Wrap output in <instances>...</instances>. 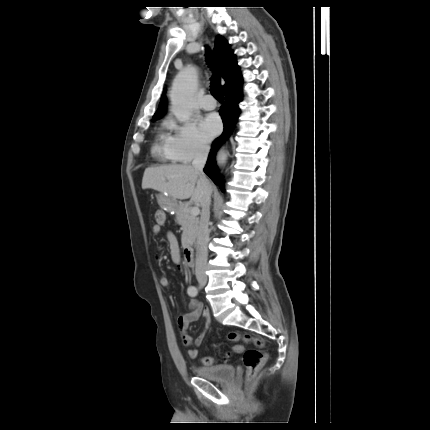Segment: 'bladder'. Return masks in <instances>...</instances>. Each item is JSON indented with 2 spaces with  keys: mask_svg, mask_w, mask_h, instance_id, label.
Segmentation results:
<instances>
[{
  "mask_svg": "<svg viewBox=\"0 0 430 430\" xmlns=\"http://www.w3.org/2000/svg\"><path fill=\"white\" fill-rule=\"evenodd\" d=\"M194 372L198 377L203 379L218 383H227L234 378L235 368L230 364L203 365L195 367Z\"/></svg>",
  "mask_w": 430,
  "mask_h": 430,
  "instance_id": "bladder-1",
  "label": "bladder"
}]
</instances>
